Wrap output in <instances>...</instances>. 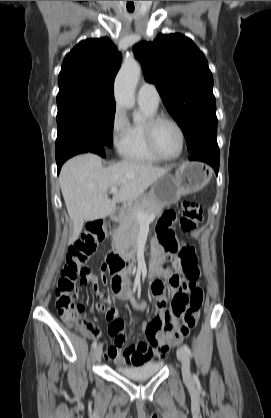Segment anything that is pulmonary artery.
Returning a JSON list of instances; mask_svg holds the SVG:
<instances>
[{
    "instance_id": "obj_1",
    "label": "pulmonary artery",
    "mask_w": 271,
    "mask_h": 418,
    "mask_svg": "<svg viewBox=\"0 0 271 418\" xmlns=\"http://www.w3.org/2000/svg\"><path fill=\"white\" fill-rule=\"evenodd\" d=\"M137 100L139 104L147 105L152 108H158L160 95L154 85L144 83L138 90Z\"/></svg>"
}]
</instances>
